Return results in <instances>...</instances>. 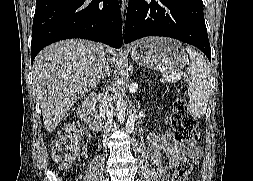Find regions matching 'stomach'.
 <instances>
[{
	"instance_id": "1",
	"label": "stomach",
	"mask_w": 253,
	"mask_h": 181,
	"mask_svg": "<svg viewBox=\"0 0 253 181\" xmlns=\"http://www.w3.org/2000/svg\"><path fill=\"white\" fill-rule=\"evenodd\" d=\"M132 59L148 69L165 73L184 68L187 57L182 44L166 37H147L131 47Z\"/></svg>"
}]
</instances>
